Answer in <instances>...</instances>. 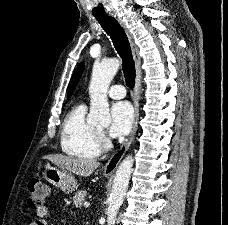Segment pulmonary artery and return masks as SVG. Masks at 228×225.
I'll use <instances>...</instances> for the list:
<instances>
[{"label": "pulmonary artery", "mask_w": 228, "mask_h": 225, "mask_svg": "<svg viewBox=\"0 0 228 225\" xmlns=\"http://www.w3.org/2000/svg\"><path fill=\"white\" fill-rule=\"evenodd\" d=\"M108 94L113 99H121L125 97L126 90L122 85H115L109 89Z\"/></svg>", "instance_id": "obj_1"}]
</instances>
